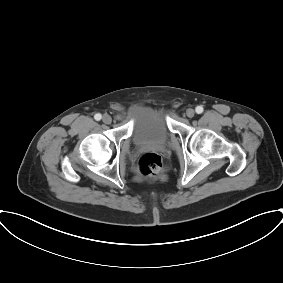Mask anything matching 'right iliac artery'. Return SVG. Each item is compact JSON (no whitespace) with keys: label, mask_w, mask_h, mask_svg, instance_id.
<instances>
[{"label":"right iliac artery","mask_w":283,"mask_h":283,"mask_svg":"<svg viewBox=\"0 0 283 283\" xmlns=\"http://www.w3.org/2000/svg\"><path fill=\"white\" fill-rule=\"evenodd\" d=\"M94 118H95V120L99 121V120H101L102 116H101V114L97 113V114H95Z\"/></svg>","instance_id":"1"}]
</instances>
